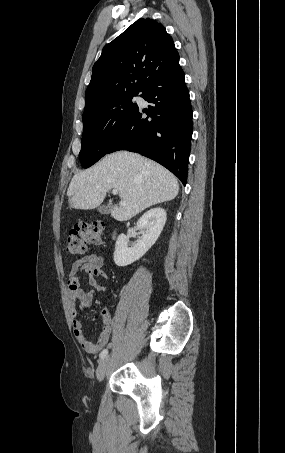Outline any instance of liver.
Returning a JSON list of instances; mask_svg holds the SVG:
<instances>
[{
	"mask_svg": "<svg viewBox=\"0 0 285 453\" xmlns=\"http://www.w3.org/2000/svg\"><path fill=\"white\" fill-rule=\"evenodd\" d=\"M110 189H118L121 202L111 216L126 221L144 209L173 200L179 192L175 176L139 154L119 151L106 155L88 170L75 174L67 190L71 208L98 207Z\"/></svg>",
	"mask_w": 285,
	"mask_h": 453,
	"instance_id": "1",
	"label": "liver"
}]
</instances>
